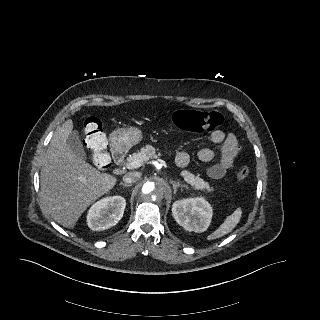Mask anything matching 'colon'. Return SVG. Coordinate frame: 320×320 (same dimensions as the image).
<instances>
[{
	"instance_id": "1",
	"label": "colon",
	"mask_w": 320,
	"mask_h": 320,
	"mask_svg": "<svg viewBox=\"0 0 320 320\" xmlns=\"http://www.w3.org/2000/svg\"><path fill=\"white\" fill-rule=\"evenodd\" d=\"M174 125L186 132L203 133L220 127L223 116L218 112H206L195 109H180L173 113ZM85 146L93 153L95 164L102 169L109 167L110 160L104 149L107 145L106 135L101 121L94 116L88 117L84 123ZM249 176V169L242 165L236 172L239 181H245Z\"/></svg>"
}]
</instances>
